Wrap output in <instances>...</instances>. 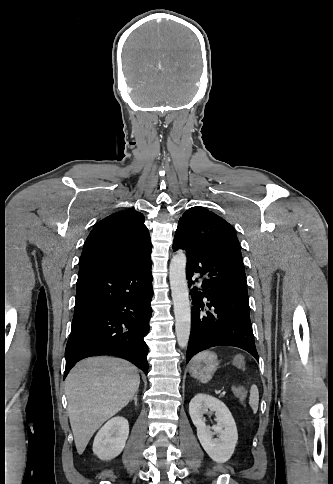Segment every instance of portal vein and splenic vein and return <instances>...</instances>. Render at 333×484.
Instances as JSON below:
<instances>
[{
	"label": "portal vein and splenic vein",
	"mask_w": 333,
	"mask_h": 484,
	"mask_svg": "<svg viewBox=\"0 0 333 484\" xmlns=\"http://www.w3.org/2000/svg\"><path fill=\"white\" fill-rule=\"evenodd\" d=\"M220 392H221V395H222V396H225L226 391H225L223 388H222V389H220Z\"/></svg>",
	"instance_id": "18ae733b"
}]
</instances>
